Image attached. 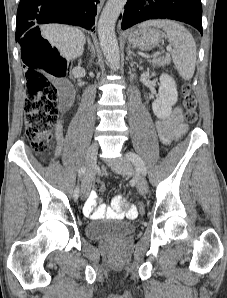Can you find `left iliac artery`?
I'll use <instances>...</instances> for the list:
<instances>
[{
	"label": "left iliac artery",
	"instance_id": "left-iliac-artery-1",
	"mask_svg": "<svg viewBox=\"0 0 227 298\" xmlns=\"http://www.w3.org/2000/svg\"><path fill=\"white\" fill-rule=\"evenodd\" d=\"M128 160H130L136 168L145 176L147 174V169L145 167L144 162L142 159L134 152H128L126 154Z\"/></svg>",
	"mask_w": 227,
	"mask_h": 298
}]
</instances>
